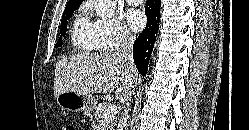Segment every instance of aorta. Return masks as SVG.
Here are the masks:
<instances>
[{
    "label": "aorta",
    "instance_id": "obj_1",
    "mask_svg": "<svg viewBox=\"0 0 249 130\" xmlns=\"http://www.w3.org/2000/svg\"><path fill=\"white\" fill-rule=\"evenodd\" d=\"M116 9V0H95V10L102 18H110Z\"/></svg>",
    "mask_w": 249,
    "mask_h": 130
}]
</instances>
